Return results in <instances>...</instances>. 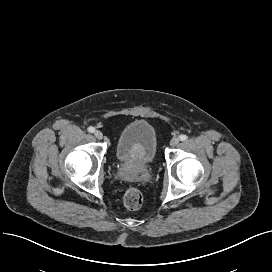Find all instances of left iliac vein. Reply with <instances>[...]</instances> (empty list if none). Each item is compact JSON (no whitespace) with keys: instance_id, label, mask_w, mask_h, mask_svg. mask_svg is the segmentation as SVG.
<instances>
[{"instance_id":"4c4485c4","label":"left iliac vein","mask_w":272,"mask_h":272,"mask_svg":"<svg viewBox=\"0 0 272 272\" xmlns=\"http://www.w3.org/2000/svg\"><path fill=\"white\" fill-rule=\"evenodd\" d=\"M178 143H179V138L178 137H173L171 140H170V145L171 146H176V145H178Z\"/></svg>"}]
</instances>
